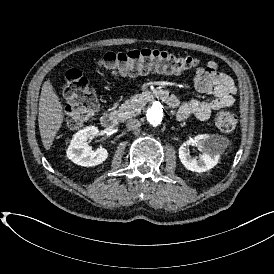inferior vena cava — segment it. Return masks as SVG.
<instances>
[{"instance_id":"obj_1","label":"inferior vena cava","mask_w":274,"mask_h":274,"mask_svg":"<svg viewBox=\"0 0 274 274\" xmlns=\"http://www.w3.org/2000/svg\"><path fill=\"white\" fill-rule=\"evenodd\" d=\"M141 127V122L136 118H130L126 122V128L129 130H137Z\"/></svg>"}]
</instances>
